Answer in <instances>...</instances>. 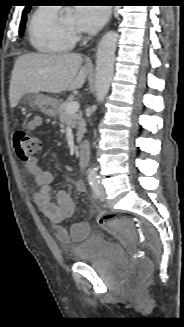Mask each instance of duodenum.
I'll return each mask as SVG.
<instances>
[{"label": "duodenum", "instance_id": "duodenum-1", "mask_svg": "<svg viewBox=\"0 0 184 327\" xmlns=\"http://www.w3.org/2000/svg\"><path fill=\"white\" fill-rule=\"evenodd\" d=\"M88 149H89L88 142L83 141V142L80 143L79 149H78V156H79L80 166L82 168H85V166L87 164Z\"/></svg>", "mask_w": 184, "mask_h": 327}]
</instances>
